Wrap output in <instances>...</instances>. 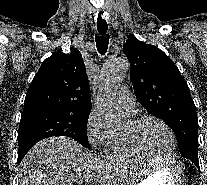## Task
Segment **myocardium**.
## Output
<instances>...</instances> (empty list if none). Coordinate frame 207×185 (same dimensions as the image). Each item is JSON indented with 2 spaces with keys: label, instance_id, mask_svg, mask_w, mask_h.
<instances>
[{
  "label": "myocardium",
  "instance_id": "1",
  "mask_svg": "<svg viewBox=\"0 0 207 185\" xmlns=\"http://www.w3.org/2000/svg\"><path fill=\"white\" fill-rule=\"evenodd\" d=\"M151 120L160 123L167 130V132L171 138V148H170L169 152L167 153V155H165L164 157H155V156L149 154L142 147V145L138 142V140L136 138L135 131L143 123H145L147 121H151ZM131 124H132V129L128 130V131H124V135H125V138H126L128 145L130 146V148L132 150H134L135 152L144 156L145 158L152 160V161H156V162L168 161L173 157L175 150H176V145H177L176 136H175V133H174L173 129L171 128V126L165 120H163L162 118H160L158 116L146 115V116H140V117L133 119L131 121Z\"/></svg>",
  "mask_w": 207,
  "mask_h": 185
}]
</instances>
